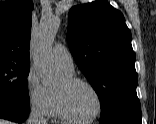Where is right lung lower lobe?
<instances>
[{
	"label": "right lung lower lobe",
	"instance_id": "right-lung-lower-lobe-1",
	"mask_svg": "<svg viewBox=\"0 0 156 124\" xmlns=\"http://www.w3.org/2000/svg\"><path fill=\"white\" fill-rule=\"evenodd\" d=\"M30 101L24 102L17 98L5 97L0 94V118L22 123L28 115Z\"/></svg>",
	"mask_w": 156,
	"mask_h": 124
}]
</instances>
